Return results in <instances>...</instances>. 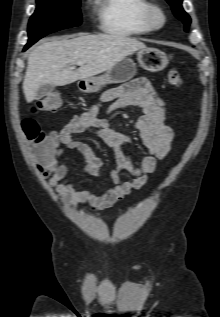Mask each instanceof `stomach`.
<instances>
[{
  "instance_id": "0dacf381",
  "label": "stomach",
  "mask_w": 220,
  "mask_h": 317,
  "mask_svg": "<svg viewBox=\"0 0 220 317\" xmlns=\"http://www.w3.org/2000/svg\"><path fill=\"white\" fill-rule=\"evenodd\" d=\"M137 61L143 69L151 72L161 71L169 63L167 55L155 48L140 49L137 52ZM135 74L136 64L129 57H125L104 74L82 79L77 85L81 92L94 93L106 84L129 81Z\"/></svg>"
}]
</instances>
